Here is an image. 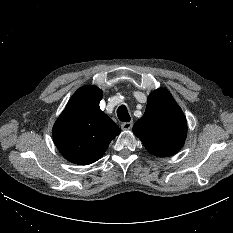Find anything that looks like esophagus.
Listing matches in <instances>:
<instances>
[{
  "label": "esophagus",
  "instance_id": "34e87169",
  "mask_svg": "<svg viewBox=\"0 0 233 233\" xmlns=\"http://www.w3.org/2000/svg\"><path fill=\"white\" fill-rule=\"evenodd\" d=\"M133 123L132 122H124L121 125V128L123 130H130L132 128Z\"/></svg>",
  "mask_w": 233,
  "mask_h": 233
}]
</instances>
